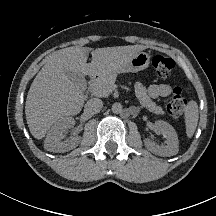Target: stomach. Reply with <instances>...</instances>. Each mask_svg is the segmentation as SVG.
I'll list each match as a JSON object with an SVG mask.
<instances>
[{"label":"stomach","mask_w":216,"mask_h":216,"mask_svg":"<svg viewBox=\"0 0 216 216\" xmlns=\"http://www.w3.org/2000/svg\"><path fill=\"white\" fill-rule=\"evenodd\" d=\"M149 63L150 55L146 52H139L136 55H134L128 62L121 65L119 69L113 72H138L146 69L149 66Z\"/></svg>","instance_id":"1"}]
</instances>
